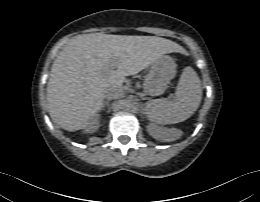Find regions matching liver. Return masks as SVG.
<instances>
[{"label":"liver","mask_w":260,"mask_h":202,"mask_svg":"<svg viewBox=\"0 0 260 202\" xmlns=\"http://www.w3.org/2000/svg\"><path fill=\"white\" fill-rule=\"evenodd\" d=\"M181 50L175 42L156 36H76L51 68L47 100L53 121L68 131L85 128L102 110L106 90L122 88L126 76L137 74L163 54ZM111 62L116 70L107 73L104 68Z\"/></svg>","instance_id":"liver-1"}]
</instances>
